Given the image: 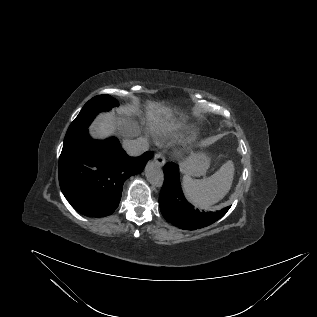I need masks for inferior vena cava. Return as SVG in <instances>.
Listing matches in <instances>:
<instances>
[{
  "label": "inferior vena cava",
  "mask_w": 317,
  "mask_h": 317,
  "mask_svg": "<svg viewBox=\"0 0 317 317\" xmlns=\"http://www.w3.org/2000/svg\"><path fill=\"white\" fill-rule=\"evenodd\" d=\"M123 148L127 152V154H129L130 156L136 157L148 151L149 144L146 138L139 137L134 140H130V139L124 140Z\"/></svg>",
  "instance_id": "inferior-vena-cava-1"
}]
</instances>
